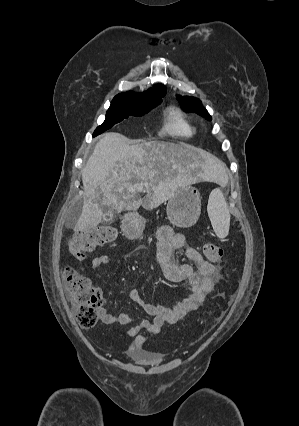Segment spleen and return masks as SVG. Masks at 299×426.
Segmentation results:
<instances>
[{"instance_id": "obj_1", "label": "spleen", "mask_w": 299, "mask_h": 426, "mask_svg": "<svg viewBox=\"0 0 299 426\" xmlns=\"http://www.w3.org/2000/svg\"><path fill=\"white\" fill-rule=\"evenodd\" d=\"M207 211L215 234L219 238L227 237L230 227V213L220 189H214L211 192Z\"/></svg>"}]
</instances>
